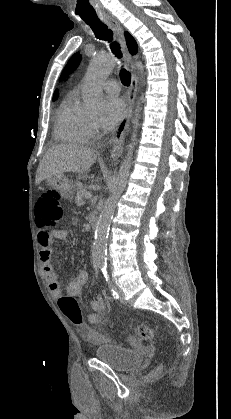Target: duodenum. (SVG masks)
Wrapping results in <instances>:
<instances>
[{
    "instance_id": "1",
    "label": "duodenum",
    "mask_w": 231,
    "mask_h": 419,
    "mask_svg": "<svg viewBox=\"0 0 231 419\" xmlns=\"http://www.w3.org/2000/svg\"><path fill=\"white\" fill-rule=\"evenodd\" d=\"M88 222H89V225L91 226V227H96V225H97V222H98V215L97 214H92V215H90L89 217H88Z\"/></svg>"
}]
</instances>
